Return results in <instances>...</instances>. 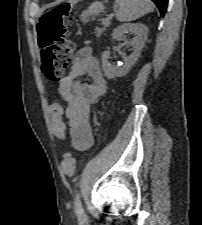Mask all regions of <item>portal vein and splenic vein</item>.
Returning <instances> with one entry per match:
<instances>
[{"instance_id":"obj_1","label":"portal vein and splenic vein","mask_w":202,"mask_h":225,"mask_svg":"<svg viewBox=\"0 0 202 225\" xmlns=\"http://www.w3.org/2000/svg\"><path fill=\"white\" fill-rule=\"evenodd\" d=\"M112 18V15H109L108 17H106L105 19H104V21L106 22V23H108V24H110V19Z\"/></svg>"}]
</instances>
